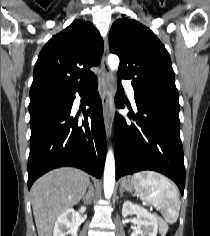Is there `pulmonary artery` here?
<instances>
[{"label": "pulmonary artery", "mask_w": 210, "mask_h": 236, "mask_svg": "<svg viewBox=\"0 0 210 236\" xmlns=\"http://www.w3.org/2000/svg\"><path fill=\"white\" fill-rule=\"evenodd\" d=\"M122 84L126 88V90L128 91V94H129L132 104L135 105V92H134V89H133L131 83L129 81L123 80Z\"/></svg>", "instance_id": "pulmonary-artery-1"}]
</instances>
